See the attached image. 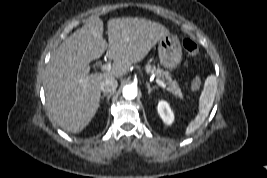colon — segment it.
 <instances>
[{
	"instance_id": "1",
	"label": "colon",
	"mask_w": 267,
	"mask_h": 178,
	"mask_svg": "<svg viewBox=\"0 0 267 178\" xmlns=\"http://www.w3.org/2000/svg\"><path fill=\"white\" fill-rule=\"evenodd\" d=\"M182 45L184 50L190 55V56H197L199 49L198 46L196 45V43L189 39V38H185L182 41ZM201 85V79L199 77H196L193 79L192 81V87L194 89H198Z\"/></svg>"
}]
</instances>
